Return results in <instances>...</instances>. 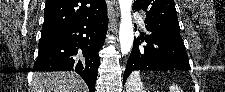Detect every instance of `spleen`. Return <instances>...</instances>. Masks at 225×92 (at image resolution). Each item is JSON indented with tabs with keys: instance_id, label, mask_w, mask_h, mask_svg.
Instances as JSON below:
<instances>
[{
	"instance_id": "3e777b00",
	"label": "spleen",
	"mask_w": 225,
	"mask_h": 92,
	"mask_svg": "<svg viewBox=\"0 0 225 92\" xmlns=\"http://www.w3.org/2000/svg\"><path fill=\"white\" fill-rule=\"evenodd\" d=\"M170 92H182L175 84L170 86ZM126 92H145L139 71H133L126 82Z\"/></svg>"
}]
</instances>
